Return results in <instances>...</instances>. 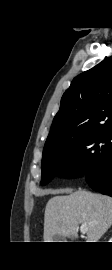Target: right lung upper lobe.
Masks as SVG:
<instances>
[{"label":"right lung upper lobe","mask_w":112,"mask_h":270,"mask_svg":"<svg viewBox=\"0 0 112 270\" xmlns=\"http://www.w3.org/2000/svg\"><path fill=\"white\" fill-rule=\"evenodd\" d=\"M112 125V56L75 77L63 94L44 148Z\"/></svg>","instance_id":"obj_1"}]
</instances>
